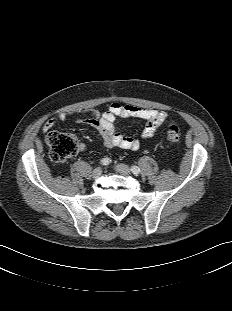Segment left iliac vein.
<instances>
[{
    "mask_svg": "<svg viewBox=\"0 0 232 311\" xmlns=\"http://www.w3.org/2000/svg\"><path fill=\"white\" fill-rule=\"evenodd\" d=\"M115 170L119 173L125 174V175H129L131 173V170L129 168V166L125 165V164H118L115 166Z\"/></svg>",
    "mask_w": 232,
    "mask_h": 311,
    "instance_id": "left-iliac-vein-1",
    "label": "left iliac vein"
}]
</instances>
